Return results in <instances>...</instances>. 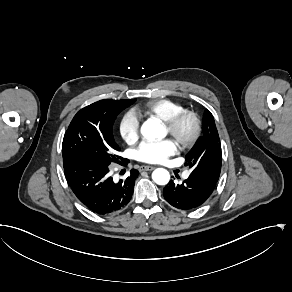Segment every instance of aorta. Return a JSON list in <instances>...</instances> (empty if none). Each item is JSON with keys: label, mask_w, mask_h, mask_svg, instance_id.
<instances>
[{"label": "aorta", "mask_w": 292, "mask_h": 292, "mask_svg": "<svg viewBox=\"0 0 292 292\" xmlns=\"http://www.w3.org/2000/svg\"><path fill=\"white\" fill-rule=\"evenodd\" d=\"M140 133L143 137L163 139L166 136V129L158 120H147L140 127ZM153 181L158 185H166L170 180L169 172L164 168H157L152 173Z\"/></svg>", "instance_id": "obj_1"}]
</instances>
